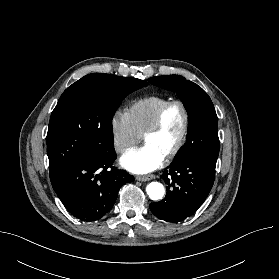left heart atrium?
I'll use <instances>...</instances> for the list:
<instances>
[{
    "label": "left heart atrium",
    "instance_id": "obj_1",
    "mask_svg": "<svg viewBox=\"0 0 279 279\" xmlns=\"http://www.w3.org/2000/svg\"><path fill=\"white\" fill-rule=\"evenodd\" d=\"M165 156L149 144L133 149L121 158V164L132 173L145 174L157 169Z\"/></svg>",
    "mask_w": 279,
    "mask_h": 279
}]
</instances>
